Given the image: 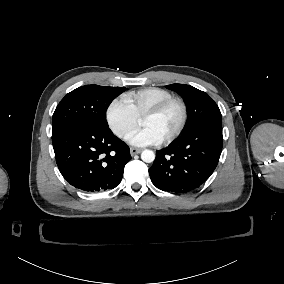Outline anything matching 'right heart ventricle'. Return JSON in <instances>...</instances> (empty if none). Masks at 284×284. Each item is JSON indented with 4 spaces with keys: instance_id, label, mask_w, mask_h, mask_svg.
<instances>
[{
    "instance_id": "e07e8e85",
    "label": "right heart ventricle",
    "mask_w": 284,
    "mask_h": 284,
    "mask_svg": "<svg viewBox=\"0 0 284 284\" xmlns=\"http://www.w3.org/2000/svg\"><path fill=\"white\" fill-rule=\"evenodd\" d=\"M174 95L167 89L155 86L144 87L123 95L122 102L138 117Z\"/></svg>"
}]
</instances>
